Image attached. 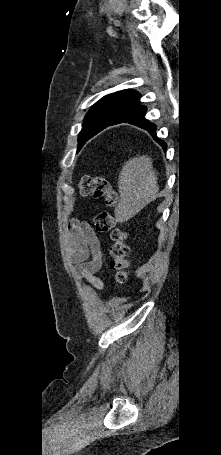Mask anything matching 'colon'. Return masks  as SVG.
I'll return each instance as SVG.
<instances>
[{
	"instance_id": "5ec220e1",
	"label": "colon",
	"mask_w": 221,
	"mask_h": 455,
	"mask_svg": "<svg viewBox=\"0 0 221 455\" xmlns=\"http://www.w3.org/2000/svg\"><path fill=\"white\" fill-rule=\"evenodd\" d=\"M77 188L81 195L103 199L108 206L115 205L118 199L117 193L105 177L83 176L79 179ZM95 227L100 233L111 232V266L116 271L119 282L127 281L130 272L127 262L129 248L126 244V232L122 229L115 228V218L109 212H100L96 215Z\"/></svg>"
}]
</instances>
